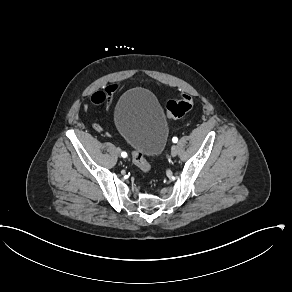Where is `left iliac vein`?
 I'll use <instances>...</instances> for the list:
<instances>
[{
  "instance_id": "obj_1",
  "label": "left iliac vein",
  "mask_w": 292,
  "mask_h": 292,
  "mask_svg": "<svg viewBox=\"0 0 292 292\" xmlns=\"http://www.w3.org/2000/svg\"><path fill=\"white\" fill-rule=\"evenodd\" d=\"M178 153V147L177 146H172L171 148V156L175 157Z\"/></svg>"
}]
</instances>
